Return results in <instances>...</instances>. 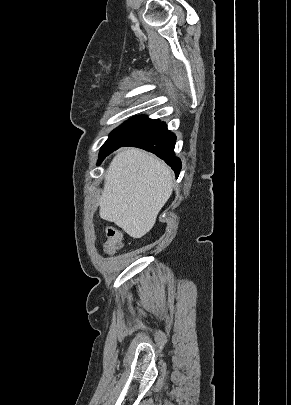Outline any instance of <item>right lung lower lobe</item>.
I'll return each instance as SVG.
<instances>
[{"label": "right lung lower lobe", "mask_w": 291, "mask_h": 405, "mask_svg": "<svg viewBox=\"0 0 291 405\" xmlns=\"http://www.w3.org/2000/svg\"><path fill=\"white\" fill-rule=\"evenodd\" d=\"M175 142L176 136L167 130L164 122H159L123 146L138 147L156 154L174 170L178 177L181 160L174 155Z\"/></svg>", "instance_id": "98d812e1"}]
</instances>
